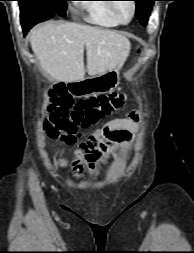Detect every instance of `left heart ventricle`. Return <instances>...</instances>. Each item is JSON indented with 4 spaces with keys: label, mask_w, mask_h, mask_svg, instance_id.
Instances as JSON below:
<instances>
[{
    "label": "left heart ventricle",
    "mask_w": 194,
    "mask_h": 253,
    "mask_svg": "<svg viewBox=\"0 0 194 253\" xmlns=\"http://www.w3.org/2000/svg\"><path fill=\"white\" fill-rule=\"evenodd\" d=\"M117 8L124 19H129L132 14V2L131 1H119L116 3Z\"/></svg>",
    "instance_id": "obj_1"
}]
</instances>
